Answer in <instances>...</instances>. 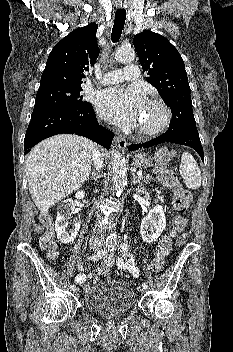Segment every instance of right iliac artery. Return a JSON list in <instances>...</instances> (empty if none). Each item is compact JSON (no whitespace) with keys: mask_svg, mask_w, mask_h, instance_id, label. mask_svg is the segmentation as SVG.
<instances>
[{"mask_svg":"<svg viewBox=\"0 0 233 352\" xmlns=\"http://www.w3.org/2000/svg\"><path fill=\"white\" fill-rule=\"evenodd\" d=\"M109 251H111V247L110 245H106L103 249L99 250L96 254L92 255L91 257H89V260H100L103 256H105ZM72 290L76 289L75 285L71 286Z\"/></svg>","mask_w":233,"mask_h":352,"instance_id":"1","label":"right iliac artery"}]
</instances>
